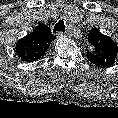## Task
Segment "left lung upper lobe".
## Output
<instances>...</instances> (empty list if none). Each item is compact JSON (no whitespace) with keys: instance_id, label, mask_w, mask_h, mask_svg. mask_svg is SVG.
<instances>
[{"instance_id":"left-lung-upper-lobe-1","label":"left lung upper lobe","mask_w":118,"mask_h":118,"mask_svg":"<svg viewBox=\"0 0 118 118\" xmlns=\"http://www.w3.org/2000/svg\"><path fill=\"white\" fill-rule=\"evenodd\" d=\"M88 41L94 47L92 51L86 48L91 63L98 67H110L114 64L118 46L110 37L93 28L89 31Z\"/></svg>"}]
</instances>
